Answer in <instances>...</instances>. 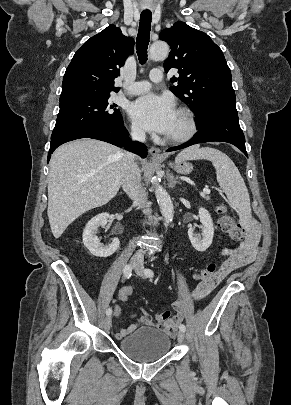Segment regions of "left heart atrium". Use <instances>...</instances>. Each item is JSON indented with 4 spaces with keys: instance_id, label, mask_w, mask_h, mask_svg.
I'll use <instances>...</instances> for the list:
<instances>
[{
    "instance_id": "1",
    "label": "left heart atrium",
    "mask_w": 291,
    "mask_h": 405,
    "mask_svg": "<svg viewBox=\"0 0 291 405\" xmlns=\"http://www.w3.org/2000/svg\"><path fill=\"white\" fill-rule=\"evenodd\" d=\"M128 112L145 130L162 134L170 131L176 114L172 100L156 94L138 98L130 105Z\"/></svg>"
}]
</instances>
